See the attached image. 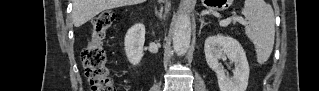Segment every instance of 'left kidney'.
I'll list each match as a JSON object with an SVG mask.
<instances>
[{
    "mask_svg": "<svg viewBox=\"0 0 319 91\" xmlns=\"http://www.w3.org/2000/svg\"><path fill=\"white\" fill-rule=\"evenodd\" d=\"M208 66L216 73L220 91H246L249 79V64L241 44L230 36L217 34L209 36L204 43ZM222 56L234 62L233 76L225 74L219 63Z\"/></svg>",
    "mask_w": 319,
    "mask_h": 91,
    "instance_id": "obj_1",
    "label": "left kidney"
}]
</instances>
